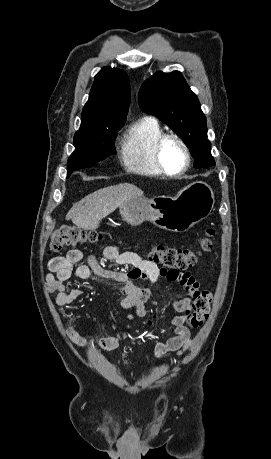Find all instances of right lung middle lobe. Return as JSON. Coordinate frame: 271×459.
Wrapping results in <instances>:
<instances>
[{"label": "right lung middle lobe", "mask_w": 271, "mask_h": 459, "mask_svg": "<svg viewBox=\"0 0 271 459\" xmlns=\"http://www.w3.org/2000/svg\"><path fill=\"white\" fill-rule=\"evenodd\" d=\"M125 119L82 120L74 135L75 151L68 159L67 177L76 170L90 167L116 153L114 140Z\"/></svg>", "instance_id": "1"}]
</instances>
